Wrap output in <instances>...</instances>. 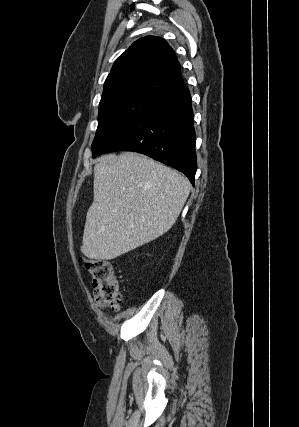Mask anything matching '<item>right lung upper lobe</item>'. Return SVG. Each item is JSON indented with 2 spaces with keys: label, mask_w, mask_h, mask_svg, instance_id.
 <instances>
[{
  "label": "right lung upper lobe",
  "mask_w": 299,
  "mask_h": 427,
  "mask_svg": "<svg viewBox=\"0 0 299 427\" xmlns=\"http://www.w3.org/2000/svg\"><path fill=\"white\" fill-rule=\"evenodd\" d=\"M184 86L173 49L163 38L147 36L117 58L105 80L101 101L117 96L155 101Z\"/></svg>",
  "instance_id": "1"
}]
</instances>
